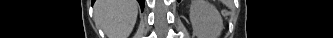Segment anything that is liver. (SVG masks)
<instances>
[{
  "mask_svg": "<svg viewBox=\"0 0 333 38\" xmlns=\"http://www.w3.org/2000/svg\"><path fill=\"white\" fill-rule=\"evenodd\" d=\"M136 0H97L94 16L109 38H127L137 19Z\"/></svg>",
  "mask_w": 333,
  "mask_h": 38,
  "instance_id": "obj_1",
  "label": "liver"
}]
</instances>
